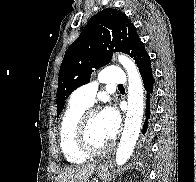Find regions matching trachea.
<instances>
[{
  "mask_svg": "<svg viewBox=\"0 0 196 182\" xmlns=\"http://www.w3.org/2000/svg\"><path fill=\"white\" fill-rule=\"evenodd\" d=\"M118 87H123L122 85H119Z\"/></svg>",
  "mask_w": 196,
  "mask_h": 182,
  "instance_id": "3493384b",
  "label": "trachea"
}]
</instances>
